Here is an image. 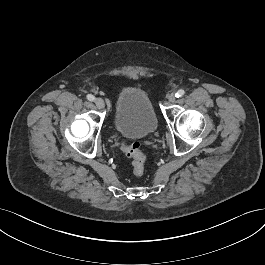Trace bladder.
Here are the masks:
<instances>
[{
	"label": "bladder",
	"mask_w": 265,
	"mask_h": 265,
	"mask_svg": "<svg viewBox=\"0 0 265 265\" xmlns=\"http://www.w3.org/2000/svg\"><path fill=\"white\" fill-rule=\"evenodd\" d=\"M115 130L122 136L143 139L155 133L157 116L147 93L140 87L124 88L114 112Z\"/></svg>",
	"instance_id": "obj_1"
}]
</instances>
